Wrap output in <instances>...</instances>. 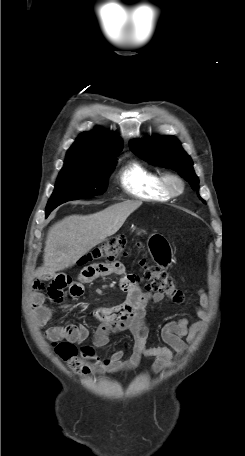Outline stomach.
Returning <instances> with one entry per match:
<instances>
[{
	"label": "stomach",
	"instance_id": "0dacf381",
	"mask_svg": "<svg viewBox=\"0 0 245 456\" xmlns=\"http://www.w3.org/2000/svg\"><path fill=\"white\" fill-rule=\"evenodd\" d=\"M148 250L152 259L162 268H167L173 261V252L170 244L162 235H154L149 243Z\"/></svg>",
	"mask_w": 245,
	"mask_h": 456
}]
</instances>
